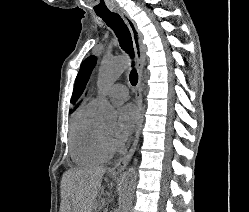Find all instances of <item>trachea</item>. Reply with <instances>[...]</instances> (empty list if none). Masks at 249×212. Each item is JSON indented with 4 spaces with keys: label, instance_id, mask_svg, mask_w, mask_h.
I'll list each match as a JSON object with an SVG mask.
<instances>
[{
    "label": "trachea",
    "instance_id": "obj_1",
    "mask_svg": "<svg viewBox=\"0 0 249 212\" xmlns=\"http://www.w3.org/2000/svg\"><path fill=\"white\" fill-rule=\"evenodd\" d=\"M98 17L102 18L108 27L112 28L115 32L121 48L134 58V49L132 43L131 33L128 30L127 25L123 22V19L118 15V13L107 12V13H97ZM129 80L132 85H136L138 82V74L134 68V62H132V70L129 75Z\"/></svg>",
    "mask_w": 249,
    "mask_h": 212
}]
</instances>
